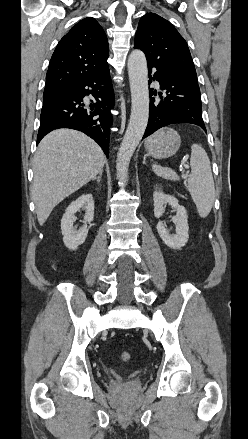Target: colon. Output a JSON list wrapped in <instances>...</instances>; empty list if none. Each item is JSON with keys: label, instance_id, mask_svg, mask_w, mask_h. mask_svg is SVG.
<instances>
[{"label": "colon", "instance_id": "1", "mask_svg": "<svg viewBox=\"0 0 248 439\" xmlns=\"http://www.w3.org/2000/svg\"><path fill=\"white\" fill-rule=\"evenodd\" d=\"M120 360L123 362H129L131 360V355L129 352L123 351L119 355Z\"/></svg>", "mask_w": 248, "mask_h": 439}]
</instances>
